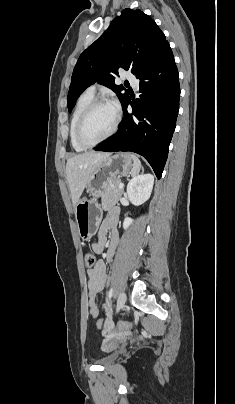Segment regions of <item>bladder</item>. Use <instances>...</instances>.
<instances>
[{
  "label": "bladder",
  "instance_id": "obj_1",
  "mask_svg": "<svg viewBox=\"0 0 235 404\" xmlns=\"http://www.w3.org/2000/svg\"><path fill=\"white\" fill-rule=\"evenodd\" d=\"M116 359H117V354L115 352H111V353L103 356L99 360V363L103 366H108V365H111L112 363H114Z\"/></svg>",
  "mask_w": 235,
  "mask_h": 404
}]
</instances>
